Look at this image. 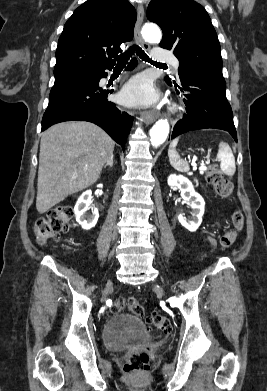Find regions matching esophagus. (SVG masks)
<instances>
[{
    "mask_svg": "<svg viewBox=\"0 0 267 391\" xmlns=\"http://www.w3.org/2000/svg\"><path fill=\"white\" fill-rule=\"evenodd\" d=\"M143 18H144V9L142 5H139L137 8V21L135 24L134 34L138 43L144 49H149V45L142 39L141 32H140L143 23ZM142 117L146 121V123H152L158 118V114L150 111H145L142 113Z\"/></svg>",
    "mask_w": 267,
    "mask_h": 391,
    "instance_id": "esophagus-1",
    "label": "esophagus"
}]
</instances>
